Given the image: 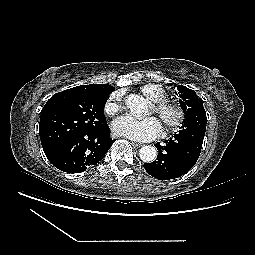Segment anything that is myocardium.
Instances as JSON below:
<instances>
[{"label": "myocardium", "mask_w": 255, "mask_h": 255, "mask_svg": "<svg viewBox=\"0 0 255 255\" xmlns=\"http://www.w3.org/2000/svg\"><path fill=\"white\" fill-rule=\"evenodd\" d=\"M153 113L162 122L165 132H173L183 126L186 120V111L179 103L164 100L153 105Z\"/></svg>", "instance_id": "f54148a6"}]
</instances>
